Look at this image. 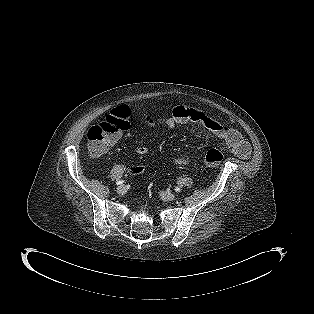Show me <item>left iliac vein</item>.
Wrapping results in <instances>:
<instances>
[{
    "label": "left iliac vein",
    "instance_id": "4c4485c4",
    "mask_svg": "<svg viewBox=\"0 0 314 314\" xmlns=\"http://www.w3.org/2000/svg\"><path fill=\"white\" fill-rule=\"evenodd\" d=\"M160 195L165 201H173L176 198V195L170 192H162Z\"/></svg>",
    "mask_w": 314,
    "mask_h": 314
}]
</instances>
